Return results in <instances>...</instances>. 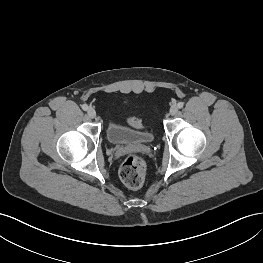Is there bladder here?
<instances>
[{
    "instance_id": "obj_1",
    "label": "bladder",
    "mask_w": 263,
    "mask_h": 263,
    "mask_svg": "<svg viewBox=\"0 0 263 263\" xmlns=\"http://www.w3.org/2000/svg\"><path fill=\"white\" fill-rule=\"evenodd\" d=\"M108 141L116 146L145 145L154 139L152 129H137L111 119L106 127Z\"/></svg>"
}]
</instances>
